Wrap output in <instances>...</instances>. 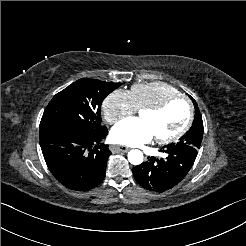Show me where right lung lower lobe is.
<instances>
[{
  "mask_svg": "<svg viewBox=\"0 0 246 246\" xmlns=\"http://www.w3.org/2000/svg\"><path fill=\"white\" fill-rule=\"evenodd\" d=\"M107 134L105 126L97 131L71 126L41 128L40 146L49 170L69 189L87 191L97 186L111 155L108 145H99Z\"/></svg>",
  "mask_w": 246,
  "mask_h": 246,
  "instance_id": "obj_1",
  "label": "right lung lower lobe"
}]
</instances>
